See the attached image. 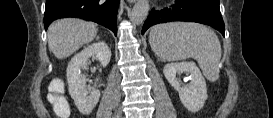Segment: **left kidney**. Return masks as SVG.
<instances>
[{"instance_id":"5707ae66","label":"left kidney","mask_w":273,"mask_h":118,"mask_svg":"<svg viewBox=\"0 0 273 118\" xmlns=\"http://www.w3.org/2000/svg\"><path fill=\"white\" fill-rule=\"evenodd\" d=\"M180 72L190 75L191 82L188 85H180L176 77ZM163 73L170 85L178 91L180 100L187 110L197 112L203 108L207 99L206 82L194 63H169L164 66Z\"/></svg>"}]
</instances>
